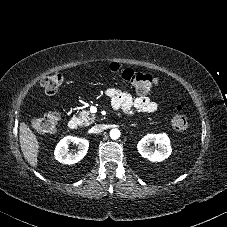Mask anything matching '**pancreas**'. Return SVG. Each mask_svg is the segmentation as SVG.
<instances>
[{
    "label": "pancreas",
    "mask_w": 227,
    "mask_h": 227,
    "mask_svg": "<svg viewBox=\"0 0 227 227\" xmlns=\"http://www.w3.org/2000/svg\"><path fill=\"white\" fill-rule=\"evenodd\" d=\"M95 115L89 111L83 110L79 114V120L82 125H90L95 121Z\"/></svg>",
    "instance_id": "obj_1"
}]
</instances>
